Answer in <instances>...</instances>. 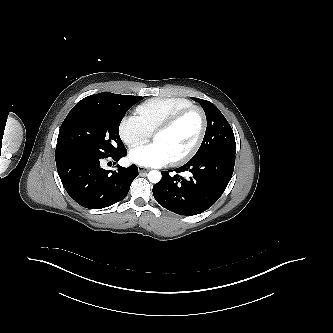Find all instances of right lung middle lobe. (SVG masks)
I'll return each mask as SVG.
<instances>
[{
  "mask_svg": "<svg viewBox=\"0 0 333 333\" xmlns=\"http://www.w3.org/2000/svg\"><path fill=\"white\" fill-rule=\"evenodd\" d=\"M142 99L109 92L85 97L63 121L56 147L82 148L104 157L126 150L119 125L126 112Z\"/></svg>",
  "mask_w": 333,
  "mask_h": 333,
  "instance_id": "1",
  "label": "right lung middle lobe"
}]
</instances>
